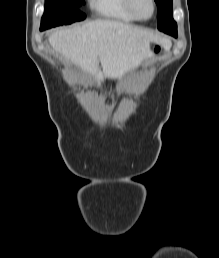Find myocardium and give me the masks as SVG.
I'll return each instance as SVG.
<instances>
[{
	"label": "myocardium",
	"mask_w": 219,
	"mask_h": 258,
	"mask_svg": "<svg viewBox=\"0 0 219 258\" xmlns=\"http://www.w3.org/2000/svg\"><path fill=\"white\" fill-rule=\"evenodd\" d=\"M151 4H152V12H151V15L148 16V17H142L140 16L136 9H135V6H134V0H125V3H126V7L127 9L130 11V13L137 19V20H143V21H146V20H149L151 19L154 14L156 13V9H157V4H156V1L155 0H150Z\"/></svg>",
	"instance_id": "f54148a6"
}]
</instances>
